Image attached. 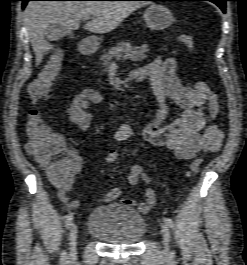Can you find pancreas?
Here are the masks:
<instances>
[{
    "label": "pancreas",
    "mask_w": 247,
    "mask_h": 265,
    "mask_svg": "<svg viewBox=\"0 0 247 265\" xmlns=\"http://www.w3.org/2000/svg\"><path fill=\"white\" fill-rule=\"evenodd\" d=\"M147 52L148 48L146 47H135L129 41H122L109 49L108 52L104 51V54L100 56L101 67L104 68L105 72L113 59H129L133 62H139L147 57Z\"/></svg>",
    "instance_id": "pancreas-1"
}]
</instances>
